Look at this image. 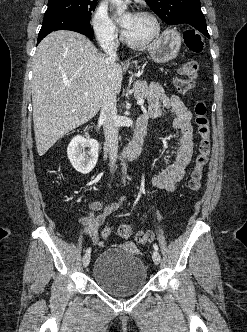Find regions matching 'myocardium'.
<instances>
[{
	"label": "myocardium",
	"mask_w": 247,
	"mask_h": 332,
	"mask_svg": "<svg viewBox=\"0 0 247 332\" xmlns=\"http://www.w3.org/2000/svg\"><path fill=\"white\" fill-rule=\"evenodd\" d=\"M137 14L147 17L152 21L153 24V30L152 32L144 39L140 40V41H134L132 39H130L126 32L122 33V40L129 46L132 48H144L146 46H148L149 44H151L156 38H158V36L161 33V25L159 22V19L157 18V16L150 12V11H139Z\"/></svg>",
	"instance_id": "f54148a6"
}]
</instances>
